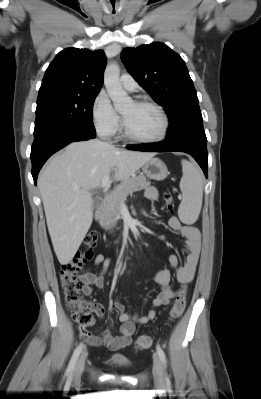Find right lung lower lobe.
<instances>
[{
    "instance_id": "right-lung-lower-lobe-1",
    "label": "right lung lower lobe",
    "mask_w": 261,
    "mask_h": 399,
    "mask_svg": "<svg viewBox=\"0 0 261 399\" xmlns=\"http://www.w3.org/2000/svg\"><path fill=\"white\" fill-rule=\"evenodd\" d=\"M95 135V130L88 131L66 121H54L35 127L31 148L32 176L35 184L40 169L51 155L70 142L89 140Z\"/></svg>"
}]
</instances>
